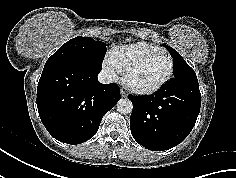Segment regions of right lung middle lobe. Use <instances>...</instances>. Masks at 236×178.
Wrapping results in <instances>:
<instances>
[{"label": "right lung middle lobe", "instance_id": "obj_1", "mask_svg": "<svg viewBox=\"0 0 236 178\" xmlns=\"http://www.w3.org/2000/svg\"><path fill=\"white\" fill-rule=\"evenodd\" d=\"M107 48L104 42L90 37H75L66 42L47 61L56 59H89L102 65Z\"/></svg>", "mask_w": 236, "mask_h": 178}]
</instances>
